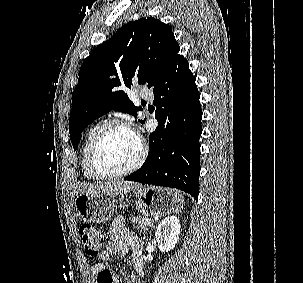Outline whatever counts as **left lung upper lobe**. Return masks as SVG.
<instances>
[{
	"mask_svg": "<svg viewBox=\"0 0 303 283\" xmlns=\"http://www.w3.org/2000/svg\"><path fill=\"white\" fill-rule=\"evenodd\" d=\"M178 53L169 25L152 17L127 23L97 46L83 61L72 95L69 131L74 149L83 130L107 112L136 116L139 108L129 100L127 88L135 83L154 87Z\"/></svg>",
	"mask_w": 303,
	"mask_h": 283,
	"instance_id": "5c2ea615",
	"label": "left lung upper lobe"
}]
</instances>
